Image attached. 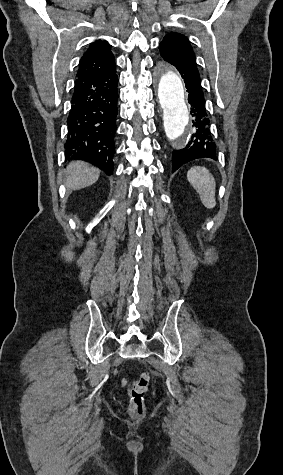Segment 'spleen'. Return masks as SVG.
<instances>
[{
	"instance_id": "3e777b00",
	"label": "spleen",
	"mask_w": 283,
	"mask_h": 475,
	"mask_svg": "<svg viewBox=\"0 0 283 475\" xmlns=\"http://www.w3.org/2000/svg\"><path fill=\"white\" fill-rule=\"evenodd\" d=\"M187 180L200 196V200L205 208H215V180L207 168L194 166L187 172Z\"/></svg>"
}]
</instances>
